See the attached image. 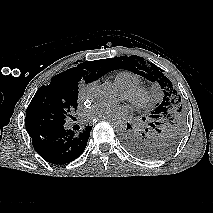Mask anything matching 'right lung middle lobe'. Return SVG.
I'll use <instances>...</instances> for the list:
<instances>
[{"instance_id": "right-lung-middle-lobe-1", "label": "right lung middle lobe", "mask_w": 213, "mask_h": 213, "mask_svg": "<svg viewBox=\"0 0 213 213\" xmlns=\"http://www.w3.org/2000/svg\"><path fill=\"white\" fill-rule=\"evenodd\" d=\"M93 81L83 71H71L54 77L38 89L26 111V131L33 136L49 127L64 125L77 109L78 84Z\"/></svg>"}]
</instances>
